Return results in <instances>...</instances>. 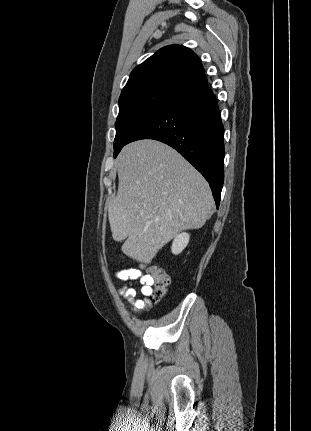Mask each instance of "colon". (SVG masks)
<instances>
[{"mask_svg":"<svg viewBox=\"0 0 311 431\" xmlns=\"http://www.w3.org/2000/svg\"><path fill=\"white\" fill-rule=\"evenodd\" d=\"M148 272H149L148 275L150 277V288H151V294L149 297L152 302H158L167 293V288L169 285V277L162 268L156 265H149Z\"/></svg>","mask_w":311,"mask_h":431,"instance_id":"1","label":"colon"}]
</instances>
